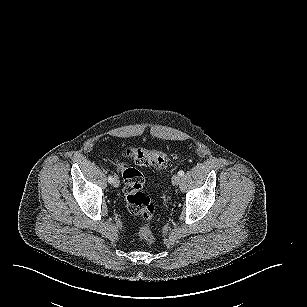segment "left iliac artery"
<instances>
[{"mask_svg": "<svg viewBox=\"0 0 307 307\" xmlns=\"http://www.w3.org/2000/svg\"><path fill=\"white\" fill-rule=\"evenodd\" d=\"M178 175L181 176V177L184 176V171H183V170H180V171L178 172Z\"/></svg>", "mask_w": 307, "mask_h": 307, "instance_id": "left-iliac-artery-1", "label": "left iliac artery"}]
</instances>
